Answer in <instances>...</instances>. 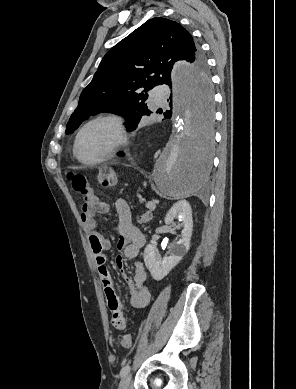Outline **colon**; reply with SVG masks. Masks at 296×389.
Listing matches in <instances>:
<instances>
[{"label":"colon","instance_id":"colon-1","mask_svg":"<svg viewBox=\"0 0 296 389\" xmlns=\"http://www.w3.org/2000/svg\"><path fill=\"white\" fill-rule=\"evenodd\" d=\"M69 179L76 192L83 196H87L91 192L90 182L86 175L72 174L69 176ZM96 181L103 188H112L117 185L118 179L115 171L105 166L98 170ZM120 342L123 348L129 349L132 346L131 334L122 335Z\"/></svg>","mask_w":296,"mask_h":389}]
</instances>
